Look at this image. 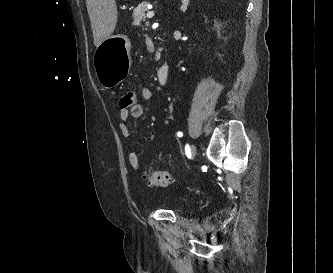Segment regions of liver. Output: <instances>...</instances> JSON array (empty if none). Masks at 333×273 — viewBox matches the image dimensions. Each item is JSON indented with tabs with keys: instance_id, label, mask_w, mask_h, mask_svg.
<instances>
[{
	"instance_id": "liver-1",
	"label": "liver",
	"mask_w": 333,
	"mask_h": 273,
	"mask_svg": "<svg viewBox=\"0 0 333 273\" xmlns=\"http://www.w3.org/2000/svg\"><path fill=\"white\" fill-rule=\"evenodd\" d=\"M86 5L91 21L94 45L98 47L115 30L117 23L116 1L86 0Z\"/></svg>"
}]
</instances>
